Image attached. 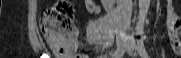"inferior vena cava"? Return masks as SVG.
<instances>
[{
	"label": "inferior vena cava",
	"mask_w": 181,
	"mask_h": 58,
	"mask_svg": "<svg viewBox=\"0 0 181 58\" xmlns=\"http://www.w3.org/2000/svg\"><path fill=\"white\" fill-rule=\"evenodd\" d=\"M120 14L122 30L126 31L130 28L131 15H132V0H121Z\"/></svg>",
	"instance_id": "obj_1"
}]
</instances>
